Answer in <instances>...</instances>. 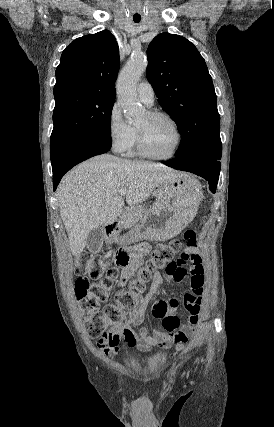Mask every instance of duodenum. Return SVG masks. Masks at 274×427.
I'll return each mask as SVG.
<instances>
[{
    "label": "duodenum",
    "instance_id": "obj_1",
    "mask_svg": "<svg viewBox=\"0 0 274 427\" xmlns=\"http://www.w3.org/2000/svg\"><path fill=\"white\" fill-rule=\"evenodd\" d=\"M117 226L118 224L116 222H110L109 224H107L105 227L106 235H112L116 231Z\"/></svg>",
    "mask_w": 274,
    "mask_h": 427
}]
</instances>
